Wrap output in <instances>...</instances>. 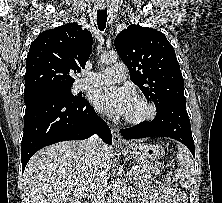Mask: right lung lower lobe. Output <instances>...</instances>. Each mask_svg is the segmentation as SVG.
I'll list each match as a JSON object with an SVG mask.
<instances>
[{
  "instance_id": "1",
  "label": "right lung lower lobe",
  "mask_w": 222,
  "mask_h": 203,
  "mask_svg": "<svg viewBox=\"0 0 222 203\" xmlns=\"http://www.w3.org/2000/svg\"><path fill=\"white\" fill-rule=\"evenodd\" d=\"M94 133L112 145L109 126L98 117L89 102L43 99L26 104L21 144L22 170L41 148L66 140H83Z\"/></svg>"
}]
</instances>
